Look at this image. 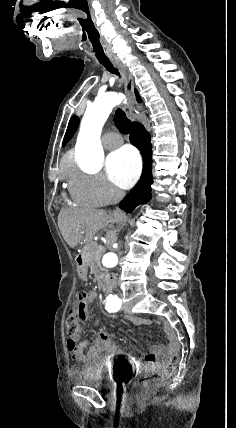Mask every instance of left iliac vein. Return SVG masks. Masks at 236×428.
Listing matches in <instances>:
<instances>
[{"label":"left iliac vein","mask_w":236,"mask_h":428,"mask_svg":"<svg viewBox=\"0 0 236 428\" xmlns=\"http://www.w3.org/2000/svg\"><path fill=\"white\" fill-rule=\"evenodd\" d=\"M119 296H120L119 298L123 301V300H124V299H123V296H122L121 294H120Z\"/></svg>","instance_id":"left-iliac-vein-1"}]
</instances>
